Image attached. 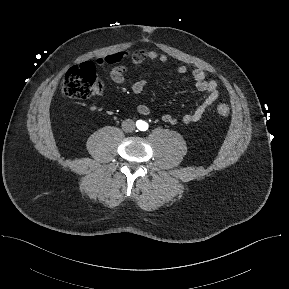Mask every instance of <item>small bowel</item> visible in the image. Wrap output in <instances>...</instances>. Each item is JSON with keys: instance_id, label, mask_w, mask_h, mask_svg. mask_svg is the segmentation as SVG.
Returning <instances> with one entry per match:
<instances>
[{"instance_id": "obj_1", "label": "small bowel", "mask_w": 289, "mask_h": 289, "mask_svg": "<svg viewBox=\"0 0 289 289\" xmlns=\"http://www.w3.org/2000/svg\"><path fill=\"white\" fill-rule=\"evenodd\" d=\"M122 60H130L133 66H139L144 62L151 64L166 63L167 56L160 54L155 50L139 49L136 51H121L108 54L102 58L97 59L98 66L104 65H116ZM179 74H186L188 69L184 65H178L175 68ZM129 68L125 65H116L110 71V78L117 84H123L126 80V74ZM192 78L195 81L196 88L203 93V97L195 105V107L182 117L184 124H192L198 122L205 112L212 106V104L219 97L218 84L215 80L207 78L205 72L201 69H193L191 72ZM146 86V81L139 80L132 85V91L135 94L141 93ZM137 112L141 115H148L150 113L149 106L145 104H139L137 106ZM162 120L168 124L175 125L178 123V118L170 113H164L161 116Z\"/></svg>"}]
</instances>
